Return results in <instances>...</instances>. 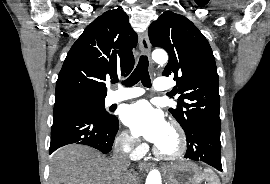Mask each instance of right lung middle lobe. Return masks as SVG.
I'll list each match as a JSON object with an SVG mask.
<instances>
[{"mask_svg": "<svg viewBox=\"0 0 270 184\" xmlns=\"http://www.w3.org/2000/svg\"><path fill=\"white\" fill-rule=\"evenodd\" d=\"M105 97L67 95L55 99L54 108L60 106H81L87 109L95 117L103 121H110L114 118L108 114L104 107Z\"/></svg>", "mask_w": 270, "mask_h": 184, "instance_id": "obj_1", "label": "right lung middle lobe"}]
</instances>
